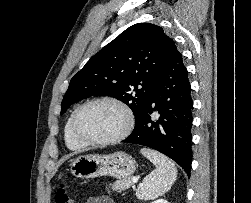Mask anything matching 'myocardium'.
I'll return each mask as SVG.
<instances>
[{"label":"myocardium","mask_w":251,"mask_h":203,"mask_svg":"<svg viewBox=\"0 0 251 203\" xmlns=\"http://www.w3.org/2000/svg\"><path fill=\"white\" fill-rule=\"evenodd\" d=\"M96 103H110L112 105L117 106L123 111L125 115V125L123 129L117 135L108 139L93 140V139L86 138L78 131L77 120L81 111L85 109L86 107L96 104ZM133 127H134V114L131 108L123 101L114 97H109V96L97 97V98H93L91 100L84 102L83 104H81L79 107L75 109V111L72 114L71 122H70V128H71V132L73 136L81 143L85 145H92V146H108V145L116 144L124 140L125 138H127L132 132Z\"/></svg>","instance_id":"myocardium-1"}]
</instances>
